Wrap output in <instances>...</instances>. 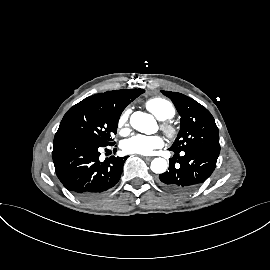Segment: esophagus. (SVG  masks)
Masks as SVG:
<instances>
[{
  "label": "esophagus",
  "instance_id": "esophagus-1",
  "mask_svg": "<svg viewBox=\"0 0 270 270\" xmlns=\"http://www.w3.org/2000/svg\"><path fill=\"white\" fill-rule=\"evenodd\" d=\"M145 160L150 161L152 160V157H143Z\"/></svg>",
  "mask_w": 270,
  "mask_h": 270
}]
</instances>
